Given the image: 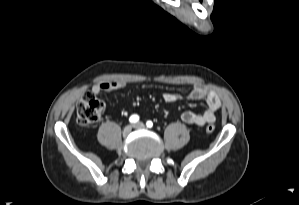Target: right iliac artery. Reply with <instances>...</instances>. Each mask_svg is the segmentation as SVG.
Instances as JSON below:
<instances>
[{
    "mask_svg": "<svg viewBox=\"0 0 299 205\" xmlns=\"http://www.w3.org/2000/svg\"><path fill=\"white\" fill-rule=\"evenodd\" d=\"M130 123H136L139 121V116L134 114L129 118Z\"/></svg>",
    "mask_w": 299,
    "mask_h": 205,
    "instance_id": "right-iliac-artery-1",
    "label": "right iliac artery"
}]
</instances>
